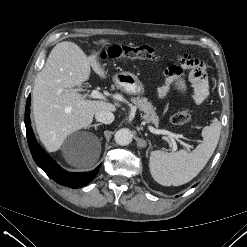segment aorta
<instances>
[{"label":"aorta","instance_id":"762f6f07","mask_svg":"<svg viewBox=\"0 0 247 247\" xmlns=\"http://www.w3.org/2000/svg\"><path fill=\"white\" fill-rule=\"evenodd\" d=\"M132 132L127 128L118 130L114 135V140L118 145L126 146L132 142Z\"/></svg>","mask_w":247,"mask_h":247}]
</instances>
